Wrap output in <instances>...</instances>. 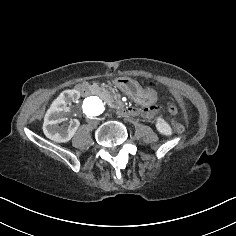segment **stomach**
Instances as JSON below:
<instances>
[{"mask_svg":"<svg viewBox=\"0 0 236 236\" xmlns=\"http://www.w3.org/2000/svg\"><path fill=\"white\" fill-rule=\"evenodd\" d=\"M115 85L119 91H125L131 95L136 104L144 106L157 100V93L154 90L144 91V88L135 79L120 77Z\"/></svg>","mask_w":236,"mask_h":236,"instance_id":"obj_1","label":"stomach"}]
</instances>
